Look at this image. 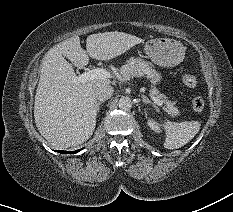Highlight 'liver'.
Listing matches in <instances>:
<instances>
[{
  "label": "liver",
  "instance_id": "liver-1",
  "mask_svg": "<svg viewBox=\"0 0 233 212\" xmlns=\"http://www.w3.org/2000/svg\"><path fill=\"white\" fill-rule=\"evenodd\" d=\"M143 39L123 32L89 35L86 50L80 37L73 36L51 48L40 66V80L35 95L34 118L40 134L55 148H68L87 141L96 125L98 112L95 86L111 81L95 79L74 83L73 65H88L89 57L107 61L120 56Z\"/></svg>",
  "mask_w": 233,
  "mask_h": 212
}]
</instances>
